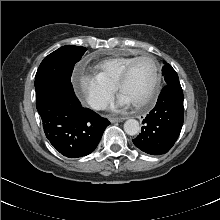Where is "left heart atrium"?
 Returning <instances> with one entry per match:
<instances>
[{
	"label": "left heart atrium",
	"instance_id": "left-heart-atrium-1",
	"mask_svg": "<svg viewBox=\"0 0 220 220\" xmlns=\"http://www.w3.org/2000/svg\"><path fill=\"white\" fill-rule=\"evenodd\" d=\"M128 104H130V101L121 94L118 97V99L112 104L111 108L118 109V108H122Z\"/></svg>",
	"mask_w": 220,
	"mask_h": 220
}]
</instances>
